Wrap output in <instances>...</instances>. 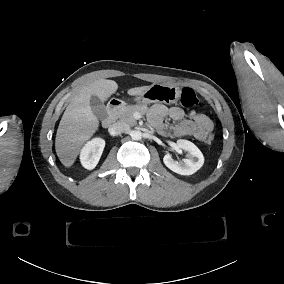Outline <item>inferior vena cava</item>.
I'll return each instance as SVG.
<instances>
[{
	"label": "inferior vena cava",
	"instance_id": "602c4592",
	"mask_svg": "<svg viewBox=\"0 0 284 284\" xmlns=\"http://www.w3.org/2000/svg\"><path fill=\"white\" fill-rule=\"evenodd\" d=\"M129 129H130V126L128 124H126L125 122L119 121V122L112 124L109 127L108 131L110 135L116 136V135L125 133Z\"/></svg>",
	"mask_w": 284,
	"mask_h": 284
}]
</instances>
